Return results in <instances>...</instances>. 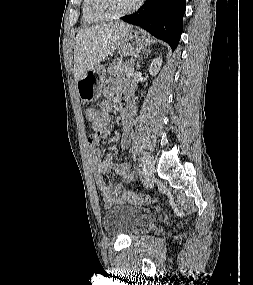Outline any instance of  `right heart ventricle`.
<instances>
[{
    "mask_svg": "<svg viewBox=\"0 0 253 285\" xmlns=\"http://www.w3.org/2000/svg\"><path fill=\"white\" fill-rule=\"evenodd\" d=\"M82 18L85 23L92 24L102 21V19L95 16L90 10V1L83 0L82 4Z\"/></svg>",
    "mask_w": 253,
    "mask_h": 285,
    "instance_id": "obj_1",
    "label": "right heart ventricle"
}]
</instances>
